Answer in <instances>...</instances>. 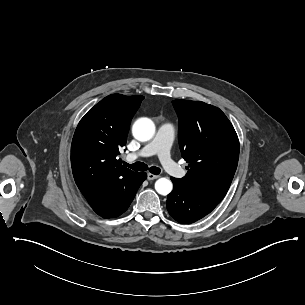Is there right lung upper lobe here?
I'll use <instances>...</instances> for the list:
<instances>
[{"label":"right lung upper lobe","mask_w":305,"mask_h":305,"mask_svg":"<svg viewBox=\"0 0 305 305\" xmlns=\"http://www.w3.org/2000/svg\"><path fill=\"white\" fill-rule=\"evenodd\" d=\"M143 99L141 95H109L76 128L71 145L72 172L91 207L110 199L138 176L116 157L126 144L131 119Z\"/></svg>","instance_id":"obj_1"}]
</instances>
